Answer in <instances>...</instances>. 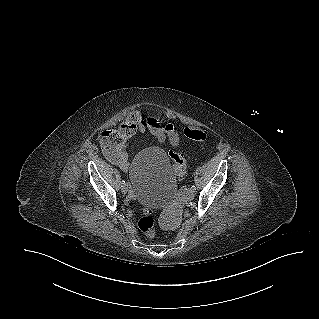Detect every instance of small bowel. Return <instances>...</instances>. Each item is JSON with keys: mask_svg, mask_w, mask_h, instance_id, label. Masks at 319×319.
Instances as JSON below:
<instances>
[{"mask_svg": "<svg viewBox=\"0 0 319 319\" xmlns=\"http://www.w3.org/2000/svg\"><path fill=\"white\" fill-rule=\"evenodd\" d=\"M137 132H149L159 141H169L173 146L180 141L173 125H161L156 117L134 110L131 119L121 118L108 125L101 137L104 156L123 171H127L129 166L127 144Z\"/></svg>", "mask_w": 319, "mask_h": 319, "instance_id": "obj_1", "label": "small bowel"}]
</instances>
